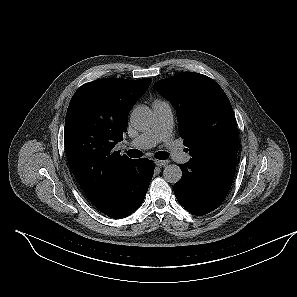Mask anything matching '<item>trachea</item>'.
I'll list each match as a JSON object with an SVG mask.
<instances>
[{"label": "trachea", "mask_w": 297, "mask_h": 297, "mask_svg": "<svg viewBox=\"0 0 297 297\" xmlns=\"http://www.w3.org/2000/svg\"><path fill=\"white\" fill-rule=\"evenodd\" d=\"M127 154L130 158H140L143 155L142 152L138 149H130L129 151H127ZM168 156H169V154L164 151H158L155 154V158H157L159 160H165L168 158Z\"/></svg>", "instance_id": "3493384b"}]
</instances>
